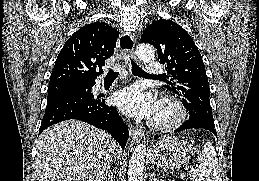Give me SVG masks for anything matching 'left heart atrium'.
Listing matches in <instances>:
<instances>
[{
    "instance_id": "39dd6f15",
    "label": "left heart atrium",
    "mask_w": 259,
    "mask_h": 181,
    "mask_svg": "<svg viewBox=\"0 0 259 181\" xmlns=\"http://www.w3.org/2000/svg\"><path fill=\"white\" fill-rule=\"evenodd\" d=\"M113 103L123 113L138 119L154 118L159 104L139 85H131L113 95Z\"/></svg>"
}]
</instances>
